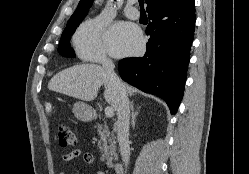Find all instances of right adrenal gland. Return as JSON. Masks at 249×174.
<instances>
[{"label": "right adrenal gland", "mask_w": 249, "mask_h": 174, "mask_svg": "<svg viewBox=\"0 0 249 174\" xmlns=\"http://www.w3.org/2000/svg\"><path fill=\"white\" fill-rule=\"evenodd\" d=\"M130 108H131V124L133 129L135 128V120H136V116L138 115V110L141 108V106L138 108L137 111H135L134 109V101H132L130 103Z\"/></svg>", "instance_id": "right-adrenal-gland-1"}]
</instances>
